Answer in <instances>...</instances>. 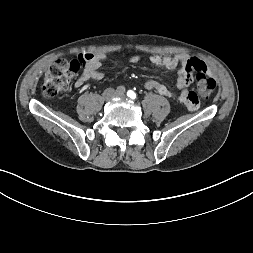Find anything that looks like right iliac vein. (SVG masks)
Masks as SVG:
<instances>
[{
    "mask_svg": "<svg viewBox=\"0 0 253 253\" xmlns=\"http://www.w3.org/2000/svg\"><path fill=\"white\" fill-rule=\"evenodd\" d=\"M115 92H114V90H112V89H107L104 93H103V98L105 99V100H110V99H112L114 96H115Z\"/></svg>",
    "mask_w": 253,
    "mask_h": 253,
    "instance_id": "1",
    "label": "right iliac vein"
}]
</instances>
